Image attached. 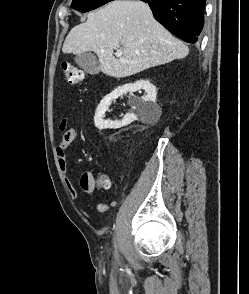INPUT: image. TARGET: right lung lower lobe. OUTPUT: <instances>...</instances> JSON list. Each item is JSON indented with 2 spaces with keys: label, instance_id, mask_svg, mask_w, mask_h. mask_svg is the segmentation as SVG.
I'll return each instance as SVG.
<instances>
[{
  "label": "right lung lower lobe",
  "instance_id": "obj_1",
  "mask_svg": "<svg viewBox=\"0 0 249 294\" xmlns=\"http://www.w3.org/2000/svg\"><path fill=\"white\" fill-rule=\"evenodd\" d=\"M148 3L155 19L171 33L195 43L204 25L206 0H142Z\"/></svg>",
  "mask_w": 249,
  "mask_h": 294
}]
</instances>
